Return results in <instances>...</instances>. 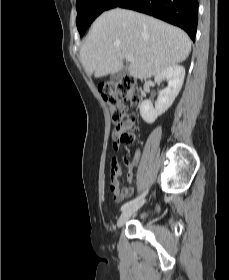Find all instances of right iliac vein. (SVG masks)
<instances>
[{
    "label": "right iliac vein",
    "instance_id": "63e3f726",
    "mask_svg": "<svg viewBox=\"0 0 229 280\" xmlns=\"http://www.w3.org/2000/svg\"><path fill=\"white\" fill-rule=\"evenodd\" d=\"M145 203L144 200L134 204L133 206L127 208L126 210H124L121 215L119 216L118 220H117V227L120 228L122 227L125 222L139 209L143 206V204Z\"/></svg>",
    "mask_w": 229,
    "mask_h": 280
}]
</instances>
